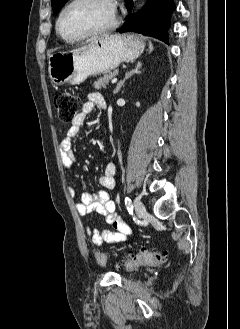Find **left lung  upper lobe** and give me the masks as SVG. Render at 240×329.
<instances>
[{"instance_id": "1", "label": "left lung upper lobe", "mask_w": 240, "mask_h": 329, "mask_svg": "<svg viewBox=\"0 0 240 329\" xmlns=\"http://www.w3.org/2000/svg\"><path fill=\"white\" fill-rule=\"evenodd\" d=\"M66 2L67 0H52L51 5L53 12L57 14Z\"/></svg>"}]
</instances>
